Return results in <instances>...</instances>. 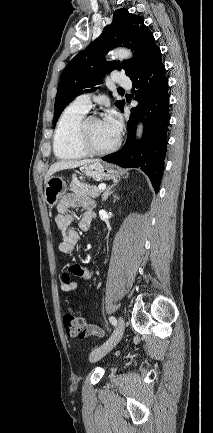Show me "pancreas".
<instances>
[{"instance_id": "pancreas-1", "label": "pancreas", "mask_w": 213, "mask_h": 433, "mask_svg": "<svg viewBox=\"0 0 213 433\" xmlns=\"http://www.w3.org/2000/svg\"><path fill=\"white\" fill-rule=\"evenodd\" d=\"M70 190L74 192L77 196H83V197H91V198H97L101 190L97 188L95 185L90 184H83L78 182L76 179H73L70 184Z\"/></svg>"}]
</instances>
